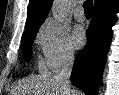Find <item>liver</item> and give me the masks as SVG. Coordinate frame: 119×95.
Returning <instances> with one entry per match:
<instances>
[{"instance_id":"1","label":"liver","mask_w":119,"mask_h":95,"mask_svg":"<svg viewBox=\"0 0 119 95\" xmlns=\"http://www.w3.org/2000/svg\"><path fill=\"white\" fill-rule=\"evenodd\" d=\"M23 95H82L78 90L68 87L57 76L41 74L25 80L19 85Z\"/></svg>"}]
</instances>
